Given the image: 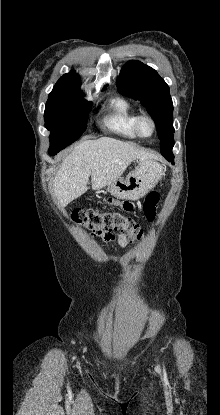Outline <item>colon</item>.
<instances>
[{
	"instance_id": "colon-1",
	"label": "colon",
	"mask_w": 220,
	"mask_h": 415,
	"mask_svg": "<svg viewBox=\"0 0 220 415\" xmlns=\"http://www.w3.org/2000/svg\"><path fill=\"white\" fill-rule=\"evenodd\" d=\"M158 201L159 195L156 192H150L145 198L143 213L149 221L155 218ZM119 205L124 210L131 208V203L128 201L120 202ZM72 220L78 225L88 227L97 235L111 234L112 231H119L132 242L140 241L144 234L143 228L137 222L119 211L77 209L72 212Z\"/></svg>"
}]
</instances>
